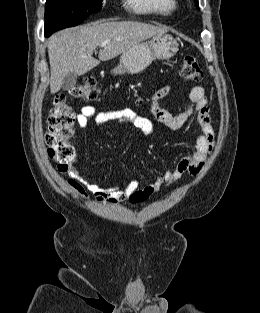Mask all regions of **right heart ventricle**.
I'll return each mask as SVG.
<instances>
[{
	"label": "right heart ventricle",
	"instance_id": "1",
	"mask_svg": "<svg viewBox=\"0 0 260 313\" xmlns=\"http://www.w3.org/2000/svg\"><path fill=\"white\" fill-rule=\"evenodd\" d=\"M128 7L138 14L169 16L176 7V0H126Z\"/></svg>",
	"mask_w": 260,
	"mask_h": 313
}]
</instances>
